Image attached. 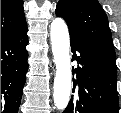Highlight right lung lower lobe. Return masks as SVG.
Masks as SVG:
<instances>
[{
	"label": "right lung lower lobe",
	"instance_id": "1",
	"mask_svg": "<svg viewBox=\"0 0 121 113\" xmlns=\"http://www.w3.org/2000/svg\"><path fill=\"white\" fill-rule=\"evenodd\" d=\"M27 27L1 40V113H18L28 70Z\"/></svg>",
	"mask_w": 121,
	"mask_h": 113
}]
</instances>
